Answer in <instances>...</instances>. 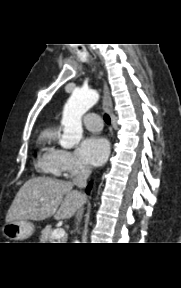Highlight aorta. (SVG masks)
Segmentation results:
<instances>
[{
	"label": "aorta",
	"mask_w": 181,
	"mask_h": 288,
	"mask_svg": "<svg viewBox=\"0 0 181 288\" xmlns=\"http://www.w3.org/2000/svg\"><path fill=\"white\" fill-rule=\"evenodd\" d=\"M98 93L94 90L75 89L64 106L61 124L63 134L60 145L72 148L82 138V116L97 102Z\"/></svg>",
	"instance_id": "aorta-1"
}]
</instances>
